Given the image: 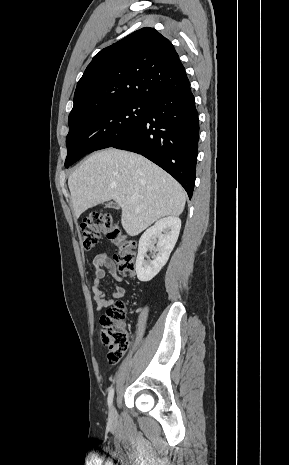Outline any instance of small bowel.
<instances>
[{
    "instance_id": "1",
    "label": "small bowel",
    "mask_w": 289,
    "mask_h": 465,
    "mask_svg": "<svg viewBox=\"0 0 289 465\" xmlns=\"http://www.w3.org/2000/svg\"><path fill=\"white\" fill-rule=\"evenodd\" d=\"M94 266V280L92 283V293L94 301L97 305V310L100 311L114 304V299H121L124 297L126 290L123 286H116L112 298H107L102 288V283L109 273L116 281L122 282V277L118 275V266L107 253H101L93 259Z\"/></svg>"
}]
</instances>
